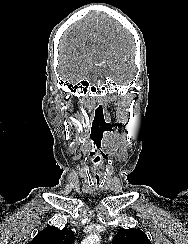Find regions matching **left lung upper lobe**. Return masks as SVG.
<instances>
[{"mask_svg":"<svg viewBox=\"0 0 188 244\" xmlns=\"http://www.w3.org/2000/svg\"><path fill=\"white\" fill-rule=\"evenodd\" d=\"M112 244H151L147 236L139 229H120Z\"/></svg>","mask_w":188,"mask_h":244,"instance_id":"1","label":"left lung upper lobe"}]
</instances>
